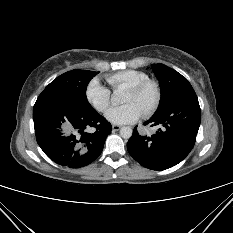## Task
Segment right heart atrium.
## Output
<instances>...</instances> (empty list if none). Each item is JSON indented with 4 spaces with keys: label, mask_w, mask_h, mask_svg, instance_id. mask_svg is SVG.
I'll list each match as a JSON object with an SVG mask.
<instances>
[{
    "label": "right heart atrium",
    "mask_w": 233,
    "mask_h": 233,
    "mask_svg": "<svg viewBox=\"0 0 233 233\" xmlns=\"http://www.w3.org/2000/svg\"><path fill=\"white\" fill-rule=\"evenodd\" d=\"M89 104L98 112H104L111 103V91L98 79H92L85 91Z\"/></svg>",
    "instance_id": "1"
}]
</instances>
